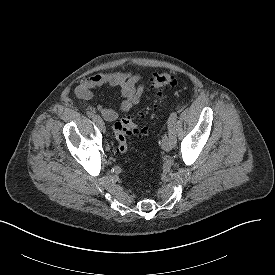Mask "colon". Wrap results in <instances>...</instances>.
<instances>
[{"label":"colon","instance_id":"1","mask_svg":"<svg viewBox=\"0 0 275 275\" xmlns=\"http://www.w3.org/2000/svg\"><path fill=\"white\" fill-rule=\"evenodd\" d=\"M176 80L169 73H156L153 74L149 81L150 89L156 93L175 86ZM139 116H125L118 120L113 126V132L117 141V149L121 154L127 155L129 147L127 139L131 135L143 136L147 134L149 128L146 125L140 124L136 121Z\"/></svg>","mask_w":275,"mask_h":275}]
</instances>
